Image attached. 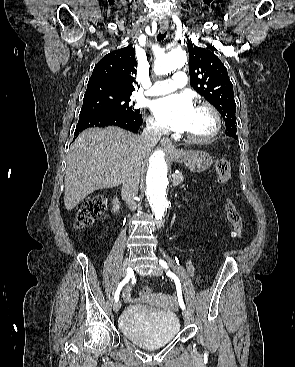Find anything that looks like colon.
Here are the masks:
<instances>
[{
	"label": "colon",
	"mask_w": 295,
	"mask_h": 367,
	"mask_svg": "<svg viewBox=\"0 0 295 367\" xmlns=\"http://www.w3.org/2000/svg\"><path fill=\"white\" fill-rule=\"evenodd\" d=\"M214 170L218 176L220 183H226L231 175V165L227 159H218L214 164ZM197 201H202V196L195 198ZM106 207V199L102 195H96L84 200L76 214V225L79 228L85 227L93 223L104 212ZM226 216L228 222L234 228V235L237 238H241L243 234V222L242 217L237 211L235 205L230 199H227L225 204ZM152 290L149 287H144L142 293L144 295L151 294Z\"/></svg>",
	"instance_id": "obj_1"
}]
</instances>
